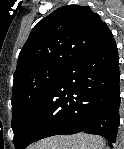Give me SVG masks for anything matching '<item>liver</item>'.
Segmentation results:
<instances>
[{
  "mask_svg": "<svg viewBox=\"0 0 124 149\" xmlns=\"http://www.w3.org/2000/svg\"><path fill=\"white\" fill-rule=\"evenodd\" d=\"M104 145L101 137L78 134L48 138L30 149H103Z\"/></svg>",
  "mask_w": 124,
  "mask_h": 149,
  "instance_id": "liver-1",
  "label": "liver"
}]
</instances>
